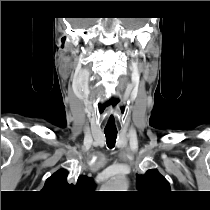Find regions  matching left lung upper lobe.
<instances>
[{
	"mask_svg": "<svg viewBox=\"0 0 210 210\" xmlns=\"http://www.w3.org/2000/svg\"><path fill=\"white\" fill-rule=\"evenodd\" d=\"M137 189L142 193H162L170 190L169 182L156 169L137 175Z\"/></svg>",
	"mask_w": 210,
	"mask_h": 210,
	"instance_id": "5c2ea615",
	"label": "left lung upper lobe"
}]
</instances>
